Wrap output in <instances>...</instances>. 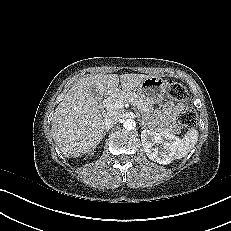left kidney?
<instances>
[{"label": "left kidney", "instance_id": "1", "mask_svg": "<svg viewBox=\"0 0 231 231\" xmlns=\"http://www.w3.org/2000/svg\"><path fill=\"white\" fill-rule=\"evenodd\" d=\"M141 141L149 159L159 164H169L174 159L175 149L180 138L168 132L143 130Z\"/></svg>", "mask_w": 231, "mask_h": 231}]
</instances>
